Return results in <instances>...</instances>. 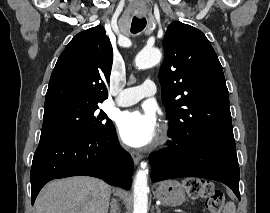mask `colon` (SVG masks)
I'll return each mask as SVG.
<instances>
[{
    "instance_id": "colon-1",
    "label": "colon",
    "mask_w": 270,
    "mask_h": 213,
    "mask_svg": "<svg viewBox=\"0 0 270 213\" xmlns=\"http://www.w3.org/2000/svg\"><path fill=\"white\" fill-rule=\"evenodd\" d=\"M184 189L189 197L204 200L206 213H221L225 204L224 193L210 181L190 178L185 181Z\"/></svg>"
}]
</instances>
